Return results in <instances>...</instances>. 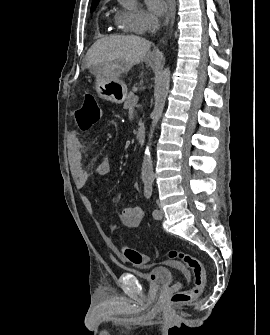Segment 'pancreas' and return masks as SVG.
<instances>
[{
    "label": "pancreas",
    "mask_w": 270,
    "mask_h": 335,
    "mask_svg": "<svg viewBox=\"0 0 270 335\" xmlns=\"http://www.w3.org/2000/svg\"><path fill=\"white\" fill-rule=\"evenodd\" d=\"M132 104H135V96H133V94H128L126 102H124V110H128Z\"/></svg>",
    "instance_id": "1"
}]
</instances>
